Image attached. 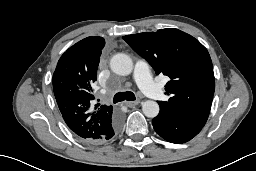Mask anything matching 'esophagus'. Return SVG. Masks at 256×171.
I'll return each instance as SVG.
<instances>
[{
    "label": "esophagus",
    "instance_id": "1",
    "mask_svg": "<svg viewBox=\"0 0 256 171\" xmlns=\"http://www.w3.org/2000/svg\"><path fill=\"white\" fill-rule=\"evenodd\" d=\"M140 103V100H136V101H126L125 105L128 107H134L136 105H138Z\"/></svg>",
    "mask_w": 256,
    "mask_h": 171
}]
</instances>
